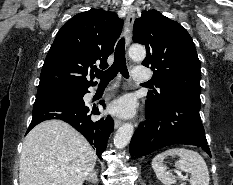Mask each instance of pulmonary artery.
Instances as JSON below:
<instances>
[{"label":"pulmonary artery","mask_w":233,"mask_h":185,"mask_svg":"<svg viewBox=\"0 0 233 185\" xmlns=\"http://www.w3.org/2000/svg\"><path fill=\"white\" fill-rule=\"evenodd\" d=\"M132 75L136 81L145 82L150 79V73L146 68L143 67L133 68Z\"/></svg>","instance_id":"obj_1"}]
</instances>
